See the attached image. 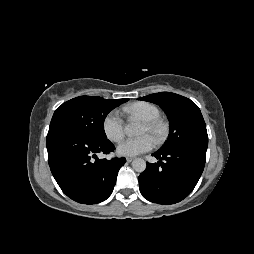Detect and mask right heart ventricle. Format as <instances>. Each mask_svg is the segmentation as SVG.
<instances>
[{"instance_id":"e07e8e85","label":"right heart ventricle","mask_w":254,"mask_h":254,"mask_svg":"<svg viewBox=\"0 0 254 254\" xmlns=\"http://www.w3.org/2000/svg\"><path fill=\"white\" fill-rule=\"evenodd\" d=\"M123 112L130 116H137L141 120L159 118L161 113L158 107L145 101L133 102L123 107Z\"/></svg>"}]
</instances>
